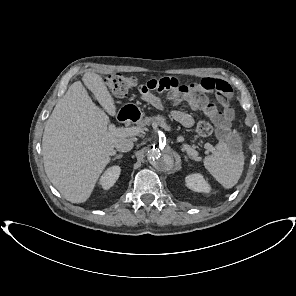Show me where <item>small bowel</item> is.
Segmentation results:
<instances>
[{
  "label": "small bowel",
  "mask_w": 296,
  "mask_h": 296,
  "mask_svg": "<svg viewBox=\"0 0 296 296\" xmlns=\"http://www.w3.org/2000/svg\"><path fill=\"white\" fill-rule=\"evenodd\" d=\"M144 101L155 108L162 107L157 92H166L167 97L174 105L178 106L186 102L193 110L206 111L209 106L208 94L215 92L217 102L222 107L221 118L213 119L218 127L219 135H224L233 118V110L229 102L232 94L231 86L228 82L218 78L206 77L199 82L182 84L176 78L164 77L161 79H149L138 88ZM173 119L182 126L190 128L194 124L193 117L181 110H174L171 113Z\"/></svg>",
  "instance_id": "1"
}]
</instances>
